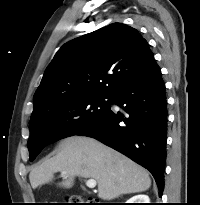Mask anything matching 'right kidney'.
Returning <instances> with one entry per match:
<instances>
[{
    "label": "right kidney",
    "mask_w": 200,
    "mask_h": 205,
    "mask_svg": "<svg viewBox=\"0 0 200 205\" xmlns=\"http://www.w3.org/2000/svg\"><path fill=\"white\" fill-rule=\"evenodd\" d=\"M126 203H150V199L145 194H139L130 198Z\"/></svg>",
    "instance_id": "obj_1"
}]
</instances>
